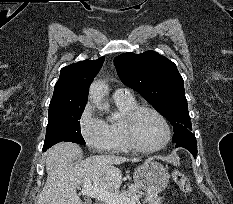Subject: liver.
I'll use <instances>...</instances> for the list:
<instances>
[{"label":"liver","mask_w":233,"mask_h":204,"mask_svg":"<svg viewBox=\"0 0 233 204\" xmlns=\"http://www.w3.org/2000/svg\"><path fill=\"white\" fill-rule=\"evenodd\" d=\"M81 155L82 149L70 142H61L47 151L48 176L37 204H83L76 189L87 181H91L93 187L116 191L122 184V173L114 165L140 161L139 158L94 155L72 165V161Z\"/></svg>","instance_id":"liver-1"}]
</instances>
